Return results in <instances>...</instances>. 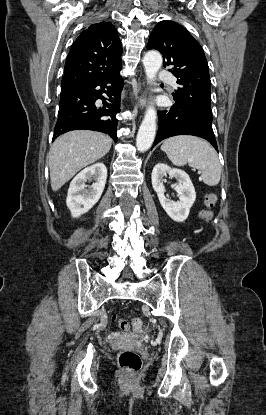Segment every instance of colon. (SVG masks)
I'll list each match as a JSON object with an SVG mask.
<instances>
[{"mask_svg":"<svg viewBox=\"0 0 266 415\" xmlns=\"http://www.w3.org/2000/svg\"><path fill=\"white\" fill-rule=\"evenodd\" d=\"M215 202V196L209 194L206 198L207 209L202 212V218L209 220L211 218L210 208ZM113 319L118 323L121 330L126 332H138L142 328V321L139 318H133L131 320H124L117 315L113 316ZM118 362L120 367L129 375L137 374L142 365L140 355L131 349H124L120 351L118 355Z\"/></svg>","mask_w":266,"mask_h":415,"instance_id":"colon-1","label":"colon"}]
</instances>
